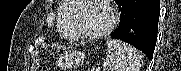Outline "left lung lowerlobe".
<instances>
[{
  "instance_id": "0a47b994",
  "label": "left lung lower lobe",
  "mask_w": 181,
  "mask_h": 71,
  "mask_svg": "<svg viewBox=\"0 0 181 71\" xmlns=\"http://www.w3.org/2000/svg\"><path fill=\"white\" fill-rule=\"evenodd\" d=\"M121 20L111 37L123 40L153 59L160 14L159 0H119Z\"/></svg>"
}]
</instances>
